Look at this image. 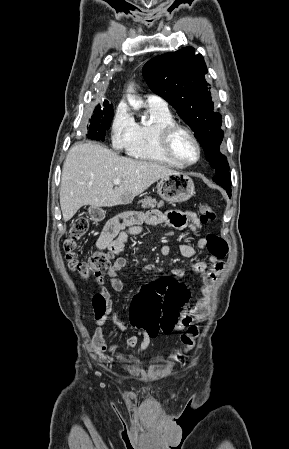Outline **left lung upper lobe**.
Segmentation results:
<instances>
[{"label": "left lung upper lobe", "instance_id": "left-lung-upper-lobe-1", "mask_svg": "<svg viewBox=\"0 0 289 449\" xmlns=\"http://www.w3.org/2000/svg\"><path fill=\"white\" fill-rule=\"evenodd\" d=\"M206 73L202 55L195 54L191 47L154 57L143 67L149 88L170 103L194 131L216 172L213 181L222 187L231 186L229 165L219 149L224 136L222 116L213 111Z\"/></svg>", "mask_w": 289, "mask_h": 449}]
</instances>
